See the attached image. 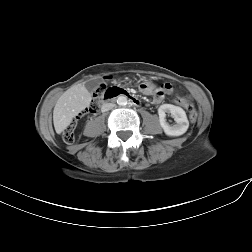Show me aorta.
<instances>
[{
  "label": "aorta",
  "instance_id": "obj_1",
  "mask_svg": "<svg viewBox=\"0 0 252 252\" xmlns=\"http://www.w3.org/2000/svg\"><path fill=\"white\" fill-rule=\"evenodd\" d=\"M117 104H118L119 106H125V105L127 104V97H126V96H123V95L119 96V97L117 98Z\"/></svg>",
  "mask_w": 252,
  "mask_h": 252
}]
</instances>
